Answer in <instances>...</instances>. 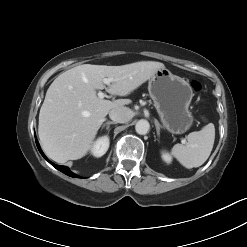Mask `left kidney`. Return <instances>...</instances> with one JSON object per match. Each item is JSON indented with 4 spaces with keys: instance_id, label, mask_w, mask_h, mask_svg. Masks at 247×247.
<instances>
[{
    "instance_id": "5707ae66",
    "label": "left kidney",
    "mask_w": 247,
    "mask_h": 247,
    "mask_svg": "<svg viewBox=\"0 0 247 247\" xmlns=\"http://www.w3.org/2000/svg\"><path fill=\"white\" fill-rule=\"evenodd\" d=\"M162 159L166 162V163H171V161H172V157L170 156V154L169 153H167V152H163L162 153Z\"/></svg>"
}]
</instances>
